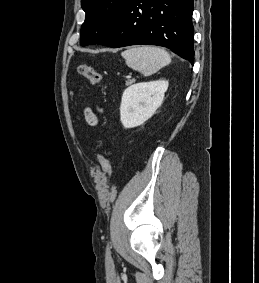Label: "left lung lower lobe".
<instances>
[{"label": "left lung lower lobe", "instance_id": "0a47b994", "mask_svg": "<svg viewBox=\"0 0 259 283\" xmlns=\"http://www.w3.org/2000/svg\"><path fill=\"white\" fill-rule=\"evenodd\" d=\"M193 0H129L100 45H158L194 62Z\"/></svg>", "mask_w": 259, "mask_h": 283}]
</instances>
